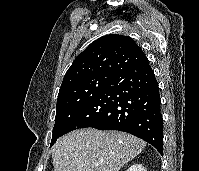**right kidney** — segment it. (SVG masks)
Instances as JSON below:
<instances>
[{"instance_id":"obj_1","label":"right kidney","mask_w":199,"mask_h":171,"mask_svg":"<svg viewBox=\"0 0 199 171\" xmlns=\"http://www.w3.org/2000/svg\"><path fill=\"white\" fill-rule=\"evenodd\" d=\"M126 171H147L146 168L144 166H142V164H132Z\"/></svg>"}]
</instances>
